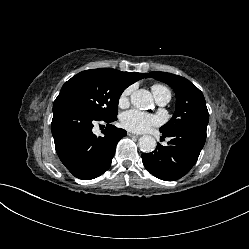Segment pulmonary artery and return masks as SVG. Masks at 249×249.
<instances>
[{
  "instance_id": "1",
  "label": "pulmonary artery",
  "mask_w": 249,
  "mask_h": 249,
  "mask_svg": "<svg viewBox=\"0 0 249 249\" xmlns=\"http://www.w3.org/2000/svg\"><path fill=\"white\" fill-rule=\"evenodd\" d=\"M155 96L156 102L159 106H165L169 103L171 99V94L168 91H163L161 93H158Z\"/></svg>"
}]
</instances>
